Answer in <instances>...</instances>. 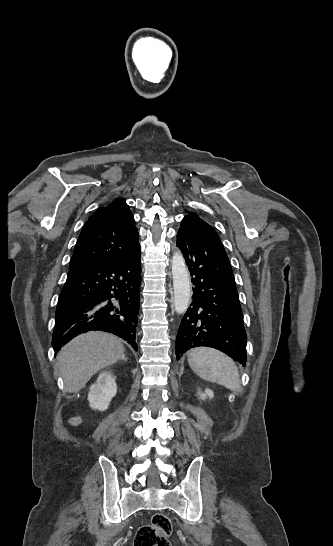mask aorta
<instances>
[{
    "label": "aorta",
    "instance_id": "1",
    "mask_svg": "<svg viewBox=\"0 0 333 546\" xmlns=\"http://www.w3.org/2000/svg\"><path fill=\"white\" fill-rule=\"evenodd\" d=\"M171 263L174 288V308L176 313L183 314L188 309L191 298L190 276L185 260L180 251L174 253Z\"/></svg>",
    "mask_w": 333,
    "mask_h": 546
}]
</instances>
